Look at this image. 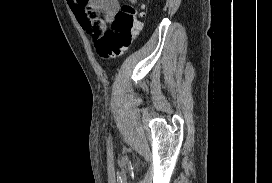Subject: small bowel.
I'll list each match as a JSON object with an SVG mask.
<instances>
[{"instance_id": "small-bowel-1", "label": "small bowel", "mask_w": 272, "mask_h": 183, "mask_svg": "<svg viewBox=\"0 0 272 183\" xmlns=\"http://www.w3.org/2000/svg\"><path fill=\"white\" fill-rule=\"evenodd\" d=\"M136 4L139 0H129ZM70 7L80 25L93 37L100 35L119 9L118 0H70Z\"/></svg>"}]
</instances>
